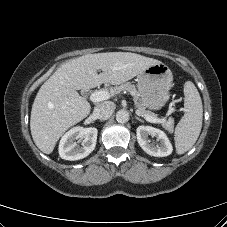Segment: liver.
<instances>
[{
	"instance_id": "1",
	"label": "liver",
	"mask_w": 227,
	"mask_h": 227,
	"mask_svg": "<svg viewBox=\"0 0 227 227\" xmlns=\"http://www.w3.org/2000/svg\"><path fill=\"white\" fill-rule=\"evenodd\" d=\"M159 60L130 52L87 54L63 64L40 87L31 110L30 129L36 146L52 153L62 134L86 118L91 106L76 90L103 83L122 84ZM102 70L101 73H97Z\"/></svg>"
}]
</instances>
